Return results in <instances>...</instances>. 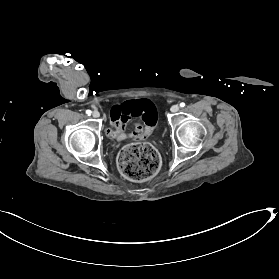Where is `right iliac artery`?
Instances as JSON below:
<instances>
[{
  "label": "right iliac artery",
  "instance_id": "82829eb1",
  "mask_svg": "<svg viewBox=\"0 0 279 279\" xmlns=\"http://www.w3.org/2000/svg\"><path fill=\"white\" fill-rule=\"evenodd\" d=\"M86 113H87L88 115H90V114H91V110H87Z\"/></svg>",
  "mask_w": 279,
  "mask_h": 279
}]
</instances>
